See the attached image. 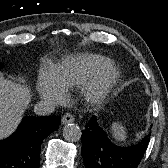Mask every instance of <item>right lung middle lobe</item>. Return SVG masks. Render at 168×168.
<instances>
[{"label": "right lung middle lobe", "instance_id": "right-lung-middle-lobe-1", "mask_svg": "<svg viewBox=\"0 0 168 168\" xmlns=\"http://www.w3.org/2000/svg\"><path fill=\"white\" fill-rule=\"evenodd\" d=\"M2 68V64L0 63V69Z\"/></svg>", "mask_w": 168, "mask_h": 168}]
</instances>
